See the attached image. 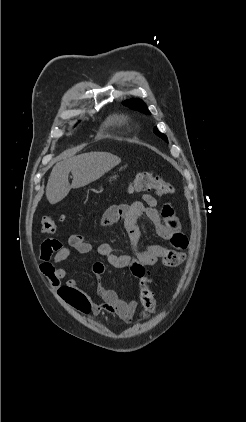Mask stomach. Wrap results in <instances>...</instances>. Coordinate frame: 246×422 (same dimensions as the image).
I'll return each instance as SVG.
<instances>
[{
    "label": "stomach",
    "mask_w": 246,
    "mask_h": 422,
    "mask_svg": "<svg viewBox=\"0 0 246 422\" xmlns=\"http://www.w3.org/2000/svg\"><path fill=\"white\" fill-rule=\"evenodd\" d=\"M112 179H116V176L110 177V181H111Z\"/></svg>",
    "instance_id": "stomach-1"
}]
</instances>
